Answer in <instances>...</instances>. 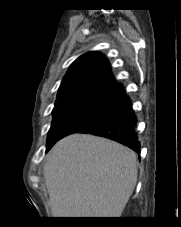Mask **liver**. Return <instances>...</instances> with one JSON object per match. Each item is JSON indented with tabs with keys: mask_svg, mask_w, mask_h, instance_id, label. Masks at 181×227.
Listing matches in <instances>:
<instances>
[{
	"mask_svg": "<svg viewBox=\"0 0 181 227\" xmlns=\"http://www.w3.org/2000/svg\"><path fill=\"white\" fill-rule=\"evenodd\" d=\"M129 148L89 134L61 139L43 169L53 217H121L137 182Z\"/></svg>",
	"mask_w": 181,
	"mask_h": 227,
	"instance_id": "liver-1",
	"label": "liver"
}]
</instances>
